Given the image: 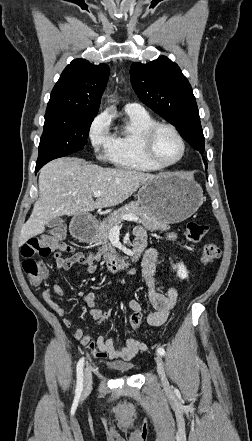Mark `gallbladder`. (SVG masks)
<instances>
[{
  "label": "gallbladder",
  "mask_w": 252,
  "mask_h": 441,
  "mask_svg": "<svg viewBox=\"0 0 252 441\" xmlns=\"http://www.w3.org/2000/svg\"><path fill=\"white\" fill-rule=\"evenodd\" d=\"M63 222H64V220L61 217H55L47 223V226L52 228V227L61 225Z\"/></svg>",
  "instance_id": "gallbladder-1"
}]
</instances>
